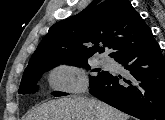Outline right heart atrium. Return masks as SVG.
I'll return each instance as SVG.
<instances>
[{
  "instance_id": "obj_1",
  "label": "right heart atrium",
  "mask_w": 165,
  "mask_h": 120,
  "mask_svg": "<svg viewBox=\"0 0 165 120\" xmlns=\"http://www.w3.org/2000/svg\"><path fill=\"white\" fill-rule=\"evenodd\" d=\"M52 87L64 91H79L84 88V77L72 66H61L50 74Z\"/></svg>"
}]
</instances>
